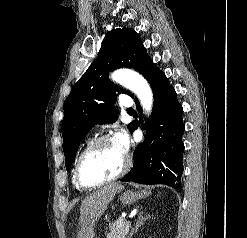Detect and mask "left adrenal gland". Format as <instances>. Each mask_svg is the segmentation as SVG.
Wrapping results in <instances>:
<instances>
[{"mask_svg":"<svg viewBox=\"0 0 247 238\" xmlns=\"http://www.w3.org/2000/svg\"><path fill=\"white\" fill-rule=\"evenodd\" d=\"M147 219H150V216H149V215H148L147 217H144V216H143V213H140L139 216H138V221H137L135 227H134V228L132 229V231L130 232L128 238H131V237L137 232V230L139 229V227H141V226L143 225V223H144Z\"/></svg>","mask_w":247,"mask_h":238,"instance_id":"a2214340","label":"left adrenal gland"}]
</instances>
